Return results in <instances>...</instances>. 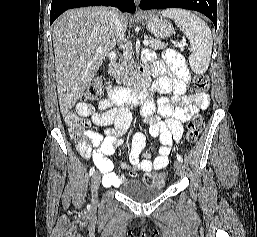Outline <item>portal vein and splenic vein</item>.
Returning <instances> with one entry per match:
<instances>
[{
	"mask_svg": "<svg viewBox=\"0 0 257 237\" xmlns=\"http://www.w3.org/2000/svg\"><path fill=\"white\" fill-rule=\"evenodd\" d=\"M143 44H144L145 46H148V45L150 44V42H149L148 40H144ZM186 45H187L186 42L183 41V42L177 43L175 46H176V47H179V48H182V47H184V46H186ZM122 48L124 49V48H127V47H126V45H123ZM99 49H101V48H99Z\"/></svg>",
	"mask_w": 257,
	"mask_h": 237,
	"instance_id": "18ae733b",
	"label": "portal vein and splenic vein"
}]
</instances>
